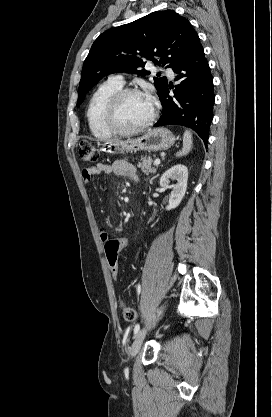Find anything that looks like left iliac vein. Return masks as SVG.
<instances>
[{"mask_svg":"<svg viewBox=\"0 0 272 417\" xmlns=\"http://www.w3.org/2000/svg\"><path fill=\"white\" fill-rule=\"evenodd\" d=\"M146 332H147L146 329H142L137 333L136 338H135V340H134V342H133V344L130 348V355L131 356H136L138 354V352L141 348V345L143 343V340L145 338Z\"/></svg>","mask_w":272,"mask_h":417,"instance_id":"4c4485c4","label":"left iliac vein"}]
</instances>
